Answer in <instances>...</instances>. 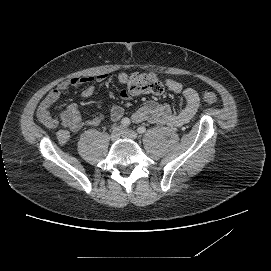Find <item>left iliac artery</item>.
Listing matches in <instances>:
<instances>
[{
  "label": "left iliac artery",
  "mask_w": 271,
  "mask_h": 271,
  "mask_svg": "<svg viewBox=\"0 0 271 271\" xmlns=\"http://www.w3.org/2000/svg\"><path fill=\"white\" fill-rule=\"evenodd\" d=\"M137 132L139 134H143V133L146 132V128L144 126H140V127L137 128Z\"/></svg>",
  "instance_id": "obj_1"
}]
</instances>
